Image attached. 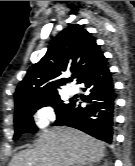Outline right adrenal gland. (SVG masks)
<instances>
[{
	"label": "right adrenal gland",
	"mask_w": 135,
	"mask_h": 166,
	"mask_svg": "<svg viewBox=\"0 0 135 166\" xmlns=\"http://www.w3.org/2000/svg\"><path fill=\"white\" fill-rule=\"evenodd\" d=\"M79 166H93L92 164H89V165H79Z\"/></svg>",
	"instance_id": "2a0ac1e0"
}]
</instances>
